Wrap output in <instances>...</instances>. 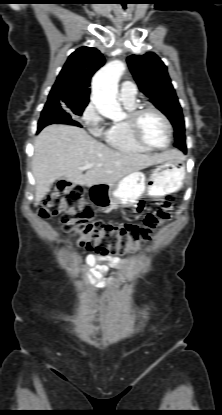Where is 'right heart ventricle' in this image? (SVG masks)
Listing matches in <instances>:
<instances>
[{
    "label": "right heart ventricle",
    "mask_w": 222,
    "mask_h": 415,
    "mask_svg": "<svg viewBox=\"0 0 222 415\" xmlns=\"http://www.w3.org/2000/svg\"><path fill=\"white\" fill-rule=\"evenodd\" d=\"M128 112L136 107L135 101H122ZM106 143L114 149L129 153H147L150 149L140 145L132 136L126 120L113 122L102 132Z\"/></svg>",
    "instance_id": "1"
}]
</instances>
